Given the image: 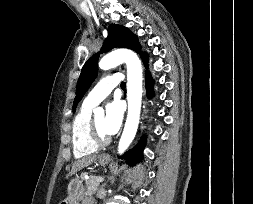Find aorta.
Here are the masks:
<instances>
[{
  "instance_id": "1",
  "label": "aorta",
  "mask_w": 253,
  "mask_h": 204,
  "mask_svg": "<svg viewBox=\"0 0 253 204\" xmlns=\"http://www.w3.org/2000/svg\"><path fill=\"white\" fill-rule=\"evenodd\" d=\"M126 63L127 65V100H128V115L125 127L118 144V153L122 154L131 144L134 139L141 111L142 101V66L138 56L131 50L119 49L104 56L99 67L103 70H108L113 67ZM104 115L101 108L95 110V116Z\"/></svg>"
}]
</instances>
